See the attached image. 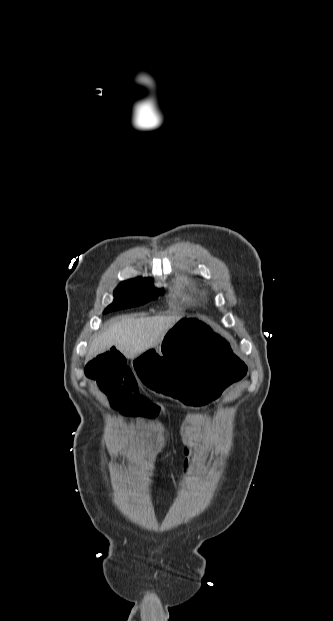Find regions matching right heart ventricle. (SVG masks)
Returning a JSON list of instances; mask_svg holds the SVG:
<instances>
[{
  "label": "right heart ventricle",
  "mask_w": 333,
  "mask_h": 621,
  "mask_svg": "<svg viewBox=\"0 0 333 621\" xmlns=\"http://www.w3.org/2000/svg\"><path fill=\"white\" fill-rule=\"evenodd\" d=\"M174 292L177 296L187 300H196L200 298V295L195 290L194 285L187 280L177 282Z\"/></svg>",
  "instance_id": "e07e8e85"
}]
</instances>
